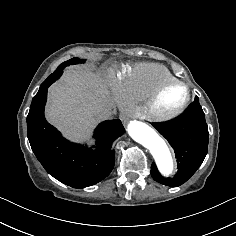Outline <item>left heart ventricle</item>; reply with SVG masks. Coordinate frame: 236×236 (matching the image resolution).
Returning a JSON list of instances; mask_svg holds the SVG:
<instances>
[{"instance_id": "1", "label": "left heart ventricle", "mask_w": 236, "mask_h": 236, "mask_svg": "<svg viewBox=\"0 0 236 236\" xmlns=\"http://www.w3.org/2000/svg\"><path fill=\"white\" fill-rule=\"evenodd\" d=\"M185 90L183 87L177 86L168 89L159 102V108L163 112L170 111L178 106L183 100Z\"/></svg>"}]
</instances>
